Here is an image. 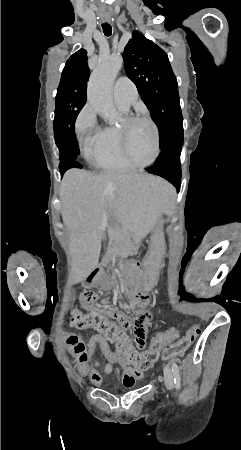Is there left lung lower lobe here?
I'll use <instances>...</instances> for the list:
<instances>
[{
	"label": "left lung lower lobe",
	"mask_w": 241,
	"mask_h": 450,
	"mask_svg": "<svg viewBox=\"0 0 241 450\" xmlns=\"http://www.w3.org/2000/svg\"><path fill=\"white\" fill-rule=\"evenodd\" d=\"M182 136L171 140L158 157L157 163L146 170L171 182L178 190L181 185L180 153Z\"/></svg>",
	"instance_id": "left-lung-lower-lobe-1"
}]
</instances>
